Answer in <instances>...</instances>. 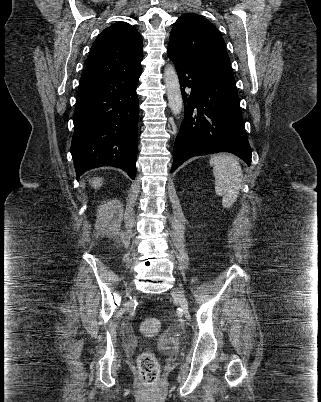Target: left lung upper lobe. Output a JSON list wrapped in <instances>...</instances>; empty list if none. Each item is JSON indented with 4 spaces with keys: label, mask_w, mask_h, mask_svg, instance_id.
<instances>
[{
    "label": "left lung upper lobe",
    "mask_w": 321,
    "mask_h": 402,
    "mask_svg": "<svg viewBox=\"0 0 321 402\" xmlns=\"http://www.w3.org/2000/svg\"><path fill=\"white\" fill-rule=\"evenodd\" d=\"M168 51L192 65L232 73L220 32L200 15L184 14L175 22Z\"/></svg>",
    "instance_id": "5c2ea615"
}]
</instances>
